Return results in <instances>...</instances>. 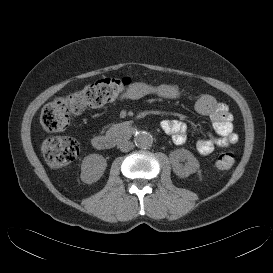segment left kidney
Instances as JSON below:
<instances>
[{"label":"left kidney","mask_w":273,"mask_h":273,"mask_svg":"<svg viewBox=\"0 0 273 273\" xmlns=\"http://www.w3.org/2000/svg\"><path fill=\"white\" fill-rule=\"evenodd\" d=\"M169 157L174 173L182 178L188 177L190 174L195 173L200 167L196 157H194L190 151L184 148L174 150L170 153ZM185 160V165H182L180 162Z\"/></svg>","instance_id":"obj_1"}]
</instances>
